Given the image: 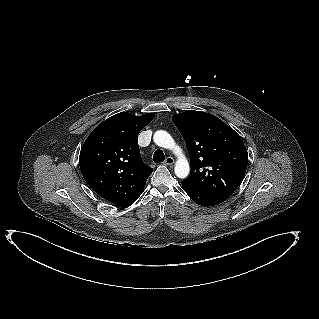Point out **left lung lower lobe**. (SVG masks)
Wrapping results in <instances>:
<instances>
[{
  "instance_id": "1",
  "label": "left lung lower lobe",
  "mask_w": 319,
  "mask_h": 319,
  "mask_svg": "<svg viewBox=\"0 0 319 319\" xmlns=\"http://www.w3.org/2000/svg\"><path fill=\"white\" fill-rule=\"evenodd\" d=\"M182 186H183L184 191L189 195V197L199 205L214 206V205H218L224 201L222 199L211 196V195L206 194V193L199 191L197 189L191 188V187L185 185L183 182H182Z\"/></svg>"
}]
</instances>
